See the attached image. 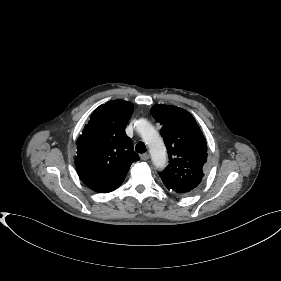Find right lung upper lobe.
Masks as SVG:
<instances>
[{"label":"right lung upper lobe","mask_w":281,"mask_h":281,"mask_svg":"<svg viewBox=\"0 0 281 281\" xmlns=\"http://www.w3.org/2000/svg\"><path fill=\"white\" fill-rule=\"evenodd\" d=\"M133 104L123 100L99 106L77 140L75 164L83 183L99 193L117 189L131 164L139 160L125 128Z\"/></svg>","instance_id":"1"}]
</instances>
